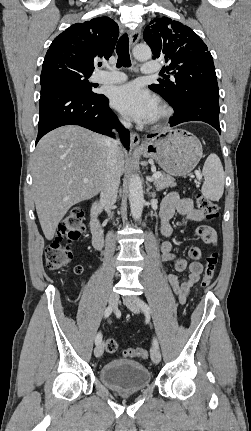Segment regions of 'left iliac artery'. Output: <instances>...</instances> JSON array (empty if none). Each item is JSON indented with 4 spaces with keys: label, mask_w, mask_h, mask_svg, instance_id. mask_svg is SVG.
<instances>
[{
    "label": "left iliac artery",
    "mask_w": 251,
    "mask_h": 431,
    "mask_svg": "<svg viewBox=\"0 0 251 431\" xmlns=\"http://www.w3.org/2000/svg\"><path fill=\"white\" fill-rule=\"evenodd\" d=\"M140 307L142 308V310H143L145 313H150V308H149V306H148L144 301H142V300H140ZM154 344H155L156 346H158V342H157V340H156V339L154 340Z\"/></svg>",
    "instance_id": "obj_1"
}]
</instances>
